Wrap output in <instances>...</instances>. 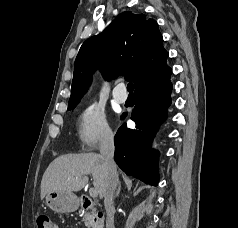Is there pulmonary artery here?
Instances as JSON below:
<instances>
[{
	"label": "pulmonary artery",
	"mask_w": 238,
	"mask_h": 228,
	"mask_svg": "<svg viewBox=\"0 0 238 228\" xmlns=\"http://www.w3.org/2000/svg\"><path fill=\"white\" fill-rule=\"evenodd\" d=\"M113 97L118 103H125L127 100V94L125 93V86L123 83L118 84L113 89Z\"/></svg>",
	"instance_id": "obj_1"
}]
</instances>
